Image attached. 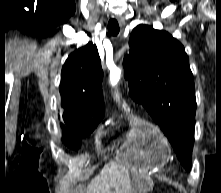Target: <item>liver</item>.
Listing matches in <instances>:
<instances>
[{
  "label": "liver",
  "mask_w": 221,
  "mask_h": 193,
  "mask_svg": "<svg viewBox=\"0 0 221 193\" xmlns=\"http://www.w3.org/2000/svg\"><path fill=\"white\" fill-rule=\"evenodd\" d=\"M130 188L131 180L128 169L111 163L91 181L87 193H128Z\"/></svg>",
  "instance_id": "obj_1"
}]
</instances>
